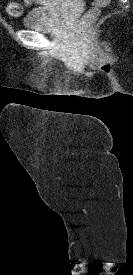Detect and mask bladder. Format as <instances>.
<instances>
[{
  "label": "bladder",
  "instance_id": "1",
  "mask_svg": "<svg viewBox=\"0 0 133 275\" xmlns=\"http://www.w3.org/2000/svg\"><path fill=\"white\" fill-rule=\"evenodd\" d=\"M64 0H51L49 5L32 8L22 20L25 29L39 32H55L59 30L63 20L61 3Z\"/></svg>",
  "mask_w": 133,
  "mask_h": 275
}]
</instances>
